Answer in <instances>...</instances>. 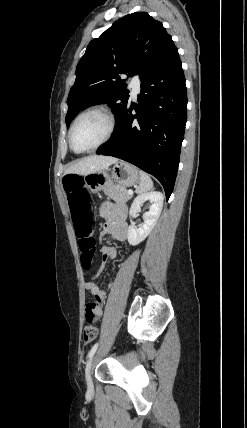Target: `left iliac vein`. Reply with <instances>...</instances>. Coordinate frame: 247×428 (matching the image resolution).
Instances as JSON below:
<instances>
[{
  "label": "left iliac vein",
  "instance_id": "4c4485c4",
  "mask_svg": "<svg viewBox=\"0 0 247 428\" xmlns=\"http://www.w3.org/2000/svg\"><path fill=\"white\" fill-rule=\"evenodd\" d=\"M92 364H93V358L89 360L85 369L86 382L90 390L93 388L92 379H91Z\"/></svg>",
  "mask_w": 247,
  "mask_h": 428
}]
</instances>
